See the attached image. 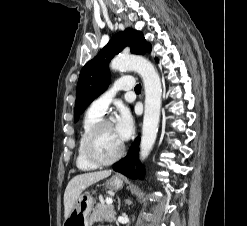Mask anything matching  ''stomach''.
I'll list each match as a JSON object with an SVG mask.
<instances>
[{"label":"stomach","mask_w":247,"mask_h":226,"mask_svg":"<svg viewBox=\"0 0 247 226\" xmlns=\"http://www.w3.org/2000/svg\"><path fill=\"white\" fill-rule=\"evenodd\" d=\"M106 187L118 190L123 187V180L118 176H113L105 183ZM94 205V199L88 193L81 194L70 215L65 219L63 226H90V212Z\"/></svg>","instance_id":"stomach-1"}]
</instances>
